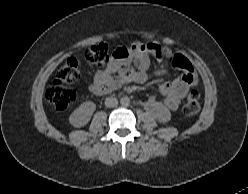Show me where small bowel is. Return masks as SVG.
<instances>
[{
  "label": "small bowel",
  "instance_id": "small-bowel-1",
  "mask_svg": "<svg viewBox=\"0 0 248 194\" xmlns=\"http://www.w3.org/2000/svg\"><path fill=\"white\" fill-rule=\"evenodd\" d=\"M161 48L154 43H134L130 47L115 49L109 64L97 71L94 80L88 85V91L95 95H103L130 82L148 83L156 77L167 73V68L151 69L148 53ZM171 66L182 70V74L173 81L160 85V95L168 110H176L186 94L197 85V76L191 62L182 55L173 54ZM148 107L158 112L159 104L155 100L148 102Z\"/></svg>",
  "mask_w": 248,
  "mask_h": 194
}]
</instances>
